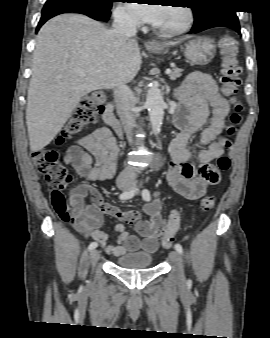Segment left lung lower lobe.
<instances>
[{
    "label": "left lung lower lobe",
    "mask_w": 270,
    "mask_h": 338,
    "mask_svg": "<svg viewBox=\"0 0 270 338\" xmlns=\"http://www.w3.org/2000/svg\"><path fill=\"white\" fill-rule=\"evenodd\" d=\"M213 27H228V28L234 29L240 34L239 20H238V17L236 16L235 11H229L223 15L215 17L209 20L204 25H202L200 28H197V29L192 28L191 33L200 32L205 29L213 28Z\"/></svg>",
    "instance_id": "obj_1"
}]
</instances>
